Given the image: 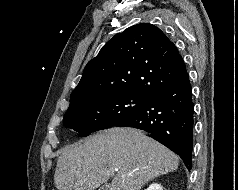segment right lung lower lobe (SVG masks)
<instances>
[{
  "instance_id": "obj_1",
  "label": "right lung lower lobe",
  "mask_w": 238,
  "mask_h": 190,
  "mask_svg": "<svg viewBox=\"0 0 238 190\" xmlns=\"http://www.w3.org/2000/svg\"><path fill=\"white\" fill-rule=\"evenodd\" d=\"M114 126L133 127L154 135V139L178 154L192 168L194 104L187 71L153 97L140 111Z\"/></svg>"
}]
</instances>
